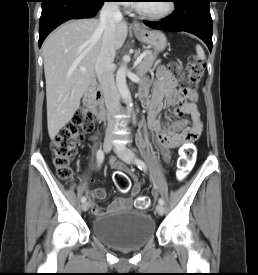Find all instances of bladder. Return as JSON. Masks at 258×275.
Returning a JSON list of instances; mask_svg holds the SVG:
<instances>
[{
    "label": "bladder",
    "mask_w": 258,
    "mask_h": 275,
    "mask_svg": "<svg viewBox=\"0 0 258 275\" xmlns=\"http://www.w3.org/2000/svg\"><path fill=\"white\" fill-rule=\"evenodd\" d=\"M93 234L102 242L117 249H137L155 236L153 218L135 209L107 214L92 223Z\"/></svg>",
    "instance_id": "obj_1"
}]
</instances>
